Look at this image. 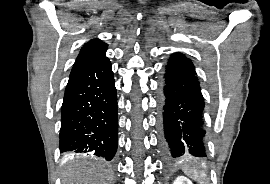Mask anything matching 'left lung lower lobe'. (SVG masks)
I'll return each instance as SVG.
<instances>
[{
    "label": "left lung lower lobe",
    "instance_id": "left-lung-lower-lobe-1",
    "mask_svg": "<svg viewBox=\"0 0 270 184\" xmlns=\"http://www.w3.org/2000/svg\"><path fill=\"white\" fill-rule=\"evenodd\" d=\"M204 98L191 60L171 56L160 98L159 138L168 162L208 158Z\"/></svg>",
    "mask_w": 270,
    "mask_h": 184
}]
</instances>
